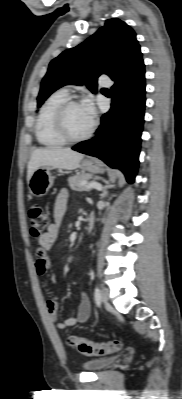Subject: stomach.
<instances>
[{"label":"stomach","mask_w":182,"mask_h":399,"mask_svg":"<svg viewBox=\"0 0 182 399\" xmlns=\"http://www.w3.org/2000/svg\"><path fill=\"white\" fill-rule=\"evenodd\" d=\"M79 167L83 171L92 174L104 172L102 164L96 159H85ZM53 169L52 166H41L32 173L28 182V188L33 196L42 197L48 193L54 182Z\"/></svg>","instance_id":"1"}]
</instances>
